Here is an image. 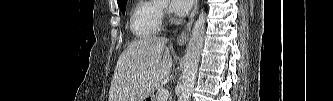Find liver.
<instances>
[{
	"label": "liver",
	"instance_id": "1",
	"mask_svg": "<svg viewBox=\"0 0 333 101\" xmlns=\"http://www.w3.org/2000/svg\"><path fill=\"white\" fill-rule=\"evenodd\" d=\"M167 40L145 37L133 41L119 56L109 101H145L172 68V47Z\"/></svg>",
	"mask_w": 333,
	"mask_h": 101
}]
</instances>
